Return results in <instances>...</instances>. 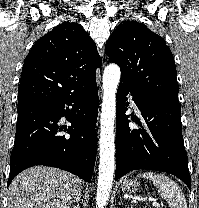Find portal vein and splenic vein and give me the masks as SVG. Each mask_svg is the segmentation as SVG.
<instances>
[{
  "instance_id": "1",
  "label": "portal vein and splenic vein",
  "mask_w": 199,
  "mask_h": 208,
  "mask_svg": "<svg viewBox=\"0 0 199 208\" xmlns=\"http://www.w3.org/2000/svg\"><path fill=\"white\" fill-rule=\"evenodd\" d=\"M141 201H145V198L141 199ZM148 201H150L152 203V206L155 207V208H160L161 207V204L154 200V199H148Z\"/></svg>"
}]
</instances>
